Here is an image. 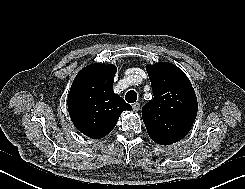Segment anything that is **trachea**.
Segmentation results:
<instances>
[{"instance_id": "trachea-1", "label": "trachea", "mask_w": 245, "mask_h": 189, "mask_svg": "<svg viewBox=\"0 0 245 189\" xmlns=\"http://www.w3.org/2000/svg\"><path fill=\"white\" fill-rule=\"evenodd\" d=\"M125 99L129 103H134L137 100V93L134 90H130L126 93Z\"/></svg>"}]
</instances>
